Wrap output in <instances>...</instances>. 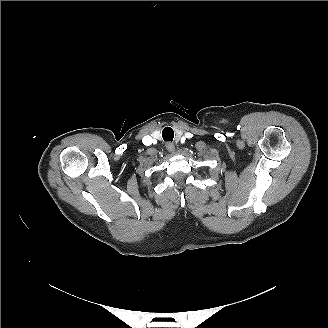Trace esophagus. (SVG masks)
Here are the masks:
<instances>
[{"mask_svg": "<svg viewBox=\"0 0 328 328\" xmlns=\"http://www.w3.org/2000/svg\"><path fill=\"white\" fill-rule=\"evenodd\" d=\"M166 149L169 151V152H174L175 151V146L174 144L172 143H166Z\"/></svg>", "mask_w": 328, "mask_h": 328, "instance_id": "esophagus-1", "label": "esophagus"}]
</instances>
